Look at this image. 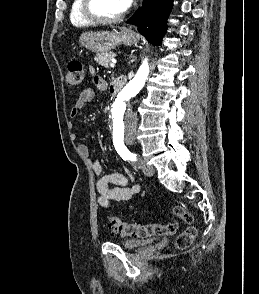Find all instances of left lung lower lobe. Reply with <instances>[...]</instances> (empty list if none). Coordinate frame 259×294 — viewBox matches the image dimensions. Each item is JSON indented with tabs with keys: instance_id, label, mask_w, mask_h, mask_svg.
Masks as SVG:
<instances>
[{
	"instance_id": "left-lung-lower-lobe-1",
	"label": "left lung lower lobe",
	"mask_w": 259,
	"mask_h": 294,
	"mask_svg": "<svg viewBox=\"0 0 259 294\" xmlns=\"http://www.w3.org/2000/svg\"><path fill=\"white\" fill-rule=\"evenodd\" d=\"M173 0H143V5L128 20L135 24L146 39L157 45L167 29V19Z\"/></svg>"
}]
</instances>
